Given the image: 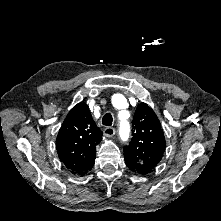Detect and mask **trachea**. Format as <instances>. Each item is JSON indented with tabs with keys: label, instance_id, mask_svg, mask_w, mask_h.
Segmentation results:
<instances>
[{
	"label": "trachea",
	"instance_id": "trachea-1",
	"mask_svg": "<svg viewBox=\"0 0 221 221\" xmlns=\"http://www.w3.org/2000/svg\"><path fill=\"white\" fill-rule=\"evenodd\" d=\"M113 122L112 115L110 113H106L102 118V124L105 126H111Z\"/></svg>",
	"mask_w": 221,
	"mask_h": 221
}]
</instances>
